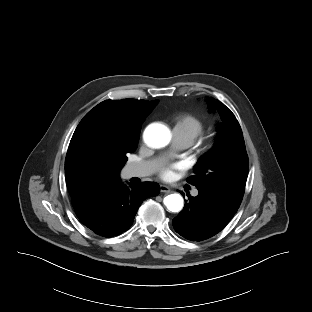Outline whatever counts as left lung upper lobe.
<instances>
[{"label": "left lung upper lobe", "instance_id": "1", "mask_svg": "<svg viewBox=\"0 0 312 312\" xmlns=\"http://www.w3.org/2000/svg\"><path fill=\"white\" fill-rule=\"evenodd\" d=\"M215 108L221 118L216 145L199 159L195 175L187 182L197 189L219 193L240 206L249 167L242 130L228 107L217 100L212 105Z\"/></svg>", "mask_w": 312, "mask_h": 312}]
</instances>
